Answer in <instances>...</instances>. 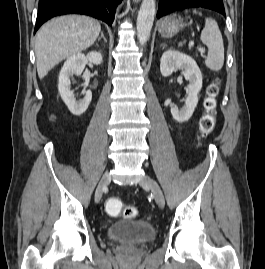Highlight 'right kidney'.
<instances>
[{"instance_id": "1", "label": "right kidney", "mask_w": 265, "mask_h": 269, "mask_svg": "<svg viewBox=\"0 0 265 269\" xmlns=\"http://www.w3.org/2000/svg\"><path fill=\"white\" fill-rule=\"evenodd\" d=\"M102 60L103 57L101 53L92 51L87 55L81 53L73 55L64 63L59 74L58 90L64 103L73 115L80 116L87 110L92 99V92L87 90L84 98L76 101L74 92L71 90L70 77L74 74L81 75L88 62L100 65Z\"/></svg>"}]
</instances>
